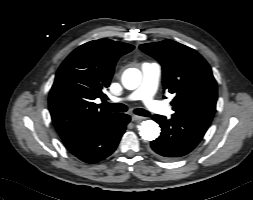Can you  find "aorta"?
Listing matches in <instances>:
<instances>
[{"mask_svg": "<svg viewBox=\"0 0 253 200\" xmlns=\"http://www.w3.org/2000/svg\"><path fill=\"white\" fill-rule=\"evenodd\" d=\"M141 81V72L138 69L130 68L126 70L122 77V83L129 90L136 89ZM160 127L153 120H145L139 126V134L142 139L153 141L160 135Z\"/></svg>", "mask_w": 253, "mask_h": 200, "instance_id": "1", "label": "aorta"}]
</instances>
